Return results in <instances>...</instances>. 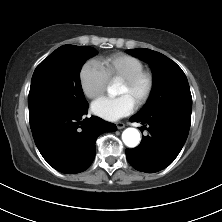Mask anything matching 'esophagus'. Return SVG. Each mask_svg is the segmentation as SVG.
I'll return each instance as SVG.
<instances>
[{"label":"esophagus","mask_w":222,"mask_h":222,"mask_svg":"<svg viewBox=\"0 0 222 222\" xmlns=\"http://www.w3.org/2000/svg\"><path fill=\"white\" fill-rule=\"evenodd\" d=\"M116 126L118 129H123L125 127V124L123 122H117Z\"/></svg>","instance_id":"1"}]
</instances>
